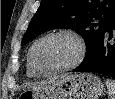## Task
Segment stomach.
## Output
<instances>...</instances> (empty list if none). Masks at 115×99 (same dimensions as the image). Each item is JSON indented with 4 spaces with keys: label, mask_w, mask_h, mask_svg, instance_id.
I'll list each match as a JSON object with an SVG mask.
<instances>
[{
    "label": "stomach",
    "mask_w": 115,
    "mask_h": 99,
    "mask_svg": "<svg viewBox=\"0 0 115 99\" xmlns=\"http://www.w3.org/2000/svg\"><path fill=\"white\" fill-rule=\"evenodd\" d=\"M104 92L101 79L90 73L61 77L52 84L25 90L22 99H98Z\"/></svg>",
    "instance_id": "obj_1"
}]
</instances>
